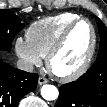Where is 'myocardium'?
Masks as SVG:
<instances>
[{"label": "myocardium", "instance_id": "myocardium-1", "mask_svg": "<svg viewBox=\"0 0 107 107\" xmlns=\"http://www.w3.org/2000/svg\"><path fill=\"white\" fill-rule=\"evenodd\" d=\"M82 22L88 24V26L90 27V30H91V44H90L89 50L87 52V55H86L85 59L83 60V62L81 63V65L78 68H76L74 71L67 73V74H59L53 69V66H52L53 60L64 48L73 29ZM96 42H97L96 31H95V28H94L93 24L91 23V21L88 20L87 18L79 17L78 19L71 22L63 30L62 34L60 35V37L58 38L56 43L50 49L49 53L46 56L47 69L53 76H55L57 79H59L60 81H63V82H69V81H73V80L79 78L82 74H84L86 72V70L88 69V67L93 59V56L95 53V48H96Z\"/></svg>", "mask_w": 107, "mask_h": 107}]
</instances>
